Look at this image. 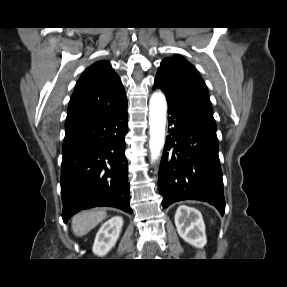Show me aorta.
<instances>
[{"label":"aorta","mask_w":287,"mask_h":287,"mask_svg":"<svg viewBox=\"0 0 287 287\" xmlns=\"http://www.w3.org/2000/svg\"><path fill=\"white\" fill-rule=\"evenodd\" d=\"M167 102L161 91L152 94L149 101V149L151 162H155L164 147Z\"/></svg>","instance_id":"762f6f07"}]
</instances>
